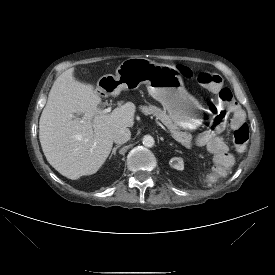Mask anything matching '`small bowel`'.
<instances>
[{"mask_svg": "<svg viewBox=\"0 0 275 275\" xmlns=\"http://www.w3.org/2000/svg\"><path fill=\"white\" fill-rule=\"evenodd\" d=\"M219 86L214 88L213 91H216ZM243 125H246L245 112L241 107L236 105L232 111L230 126L233 130H237ZM218 135L217 131L205 130L198 137L200 146L207 149L209 154L214 156V164L208 167L205 172L207 181L212 184H217L225 179L228 169L234 163L233 156L225 152L226 145L223 140L218 138Z\"/></svg>", "mask_w": 275, "mask_h": 275, "instance_id": "small-bowel-1", "label": "small bowel"}]
</instances>
